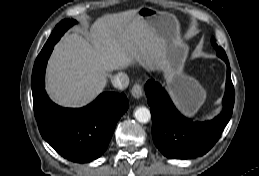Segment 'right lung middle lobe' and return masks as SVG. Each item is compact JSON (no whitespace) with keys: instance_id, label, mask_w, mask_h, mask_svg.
<instances>
[{"instance_id":"obj_1","label":"right lung middle lobe","mask_w":259,"mask_h":176,"mask_svg":"<svg viewBox=\"0 0 259 176\" xmlns=\"http://www.w3.org/2000/svg\"><path fill=\"white\" fill-rule=\"evenodd\" d=\"M77 22L73 19H65L62 20L57 26L55 27L54 31L52 32L51 36L47 40L46 44L54 41L55 39L59 40V38L64 34V32L71 27L72 25L76 24Z\"/></svg>"}]
</instances>
